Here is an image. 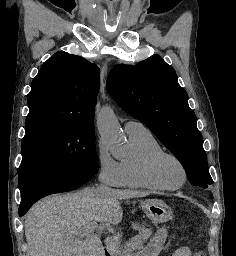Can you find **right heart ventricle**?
Here are the masks:
<instances>
[{"mask_svg":"<svg viewBox=\"0 0 236 256\" xmlns=\"http://www.w3.org/2000/svg\"><path fill=\"white\" fill-rule=\"evenodd\" d=\"M129 137L133 155L121 161L124 186L132 189H155L144 176V164L150 155L163 149L149 131L132 134Z\"/></svg>","mask_w":236,"mask_h":256,"instance_id":"right-heart-ventricle-1","label":"right heart ventricle"}]
</instances>
